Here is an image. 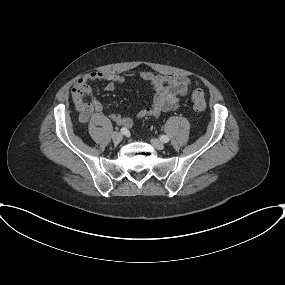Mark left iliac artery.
I'll return each instance as SVG.
<instances>
[{
    "mask_svg": "<svg viewBox=\"0 0 285 285\" xmlns=\"http://www.w3.org/2000/svg\"><path fill=\"white\" fill-rule=\"evenodd\" d=\"M160 140L164 143H167V142H169L170 138L166 135H161Z\"/></svg>",
    "mask_w": 285,
    "mask_h": 285,
    "instance_id": "obj_1",
    "label": "left iliac artery"
}]
</instances>
